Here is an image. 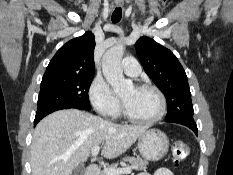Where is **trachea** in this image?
<instances>
[{"instance_id": "trachea-1", "label": "trachea", "mask_w": 233, "mask_h": 175, "mask_svg": "<svg viewBox=\"0 0 233 175\" xmlns=\"http://www.w3.org/2000/svg\"><path fill=\"white\" fill-rule=\"evenodd\" d=\"M122 17V9L120 7L116 8L112 14V22L118 23Z\"/></svg>"}]
</instances>
